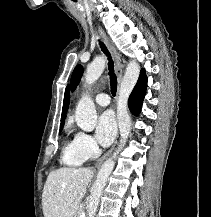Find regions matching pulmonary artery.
<instances>
[{"mask_svg": "<svg viewBox=\"0 0 211 217\" xmlns=\"http://www.w3.org/2000/svg\"><path fill=\"white\" fill-rule=\"evenodd\" d=\"M95 102H96L97 105L105 107V106L109 105L110 97L106 93H98L95 96Z\"/></svg>", "mask_w": 211, "mask_h": 217, "instance_id": "1", "label": "pulmonary artery"}]
</instances>
